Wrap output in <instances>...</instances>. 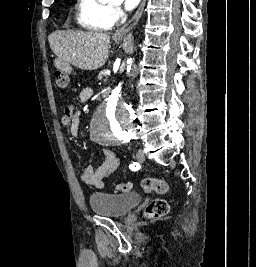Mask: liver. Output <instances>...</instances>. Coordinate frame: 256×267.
Returning <instances> with one entry per match:
<instances>
[{"label": "liver", "instance_id": "6515ba94", "mask_svg": "<svg viewBox=\"0 0 256 267\" xmlns=\"http://www.w3.org/2000/svg\"><path fill=\"white\" fill-rule=\"evenodd\" d=\"M113 38L117 40V34ZM48 42L60 62L81 70L102 68L109 58L110 36L104 32L55 30L48 36Z\"/></svg>", "mask_w": 256, "mask_h": 267}]
</instances>
